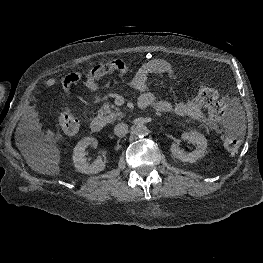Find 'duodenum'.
I'll return each instance as SVG.
<instances>
[{
	"label": "duodenum",
	"mask_w": 263,
	"mask_h": 263,
	"mask_svg": "<svg viewBox=\"0 0 263 263\" xmlns=\"http://www.w3.org/2000/svg\"><path fill=\"white\" fill-rule=\"evenodd\" d=\"M139 107L141 109H144L146 106L139 104ZM104 125H105L104 120L101 117H95L92 119V121L90 123V128H91L92 132L99 133L103 130Z\"/></svg>",
	"instance_id": "duodenum-1"
}]
</instances>
